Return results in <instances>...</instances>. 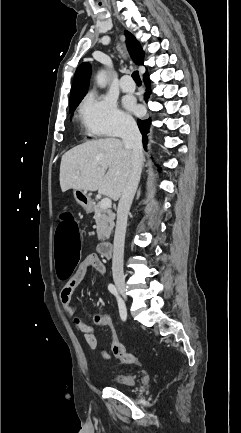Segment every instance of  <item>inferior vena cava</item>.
Masks as SVG:
<instances>
[{"label": "inferior vena cava", "mask_w": 241, "mask_h": 433, "mask_svg": "<svg viewBox=\"0 0 241 433\" xmlns=\"http://www.w3.org/2000/svg\"><path fill=\"white\" fill-rule=\"evenodd\" d=\"M121 137L125 147L132 150V171L117 208V221L112 258V274L114 281L124 280L123 258L127 218L140 181L143 165L142 136L137 123L134 120H128L125 122Z\"/></svg>", "instance_id": "1"}]
</instances>
